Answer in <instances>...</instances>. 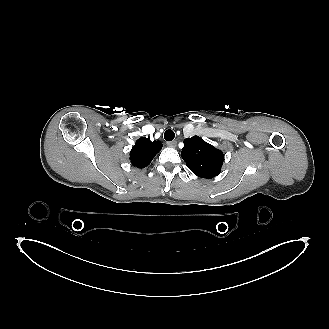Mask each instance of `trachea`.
Instances as JSON below:
<instances>
[{
    "label": "trachea",
    "mask_w": 329,
    "mask_h": 329,
    "mask_svg": "<svg viewBox=\"0 0 329 329\" xmlns=\"http://www.w3.org/2000/svg\"><path fill=\"white\" fill-rule=\"evenodd\" d=\"M174 137H175V133L171 129L165 131L164 138L166 141H172Z\"/></svg>",
    "instance_id": "1"
}]
</instances>
